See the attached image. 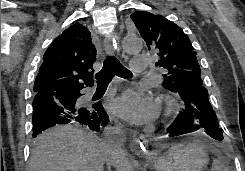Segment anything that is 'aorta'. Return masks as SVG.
Masks as SVG:
<instances>
[{
  "instance_id": "obj_1",
  "label": "aorta",
  "mask_w": 245,
  "mask_h": 171,
  "mask_svg": "<svg viewBox=\"0 0 245 171\" xmlns=\"http://www.w3.org/2000/svg\"><path fill=\"white\" fill-rule=\"evenodd\" d=\"M126 53H137L142 49V40L137 36H126L122 41Z\"/></svg>"
}]
</instances>
